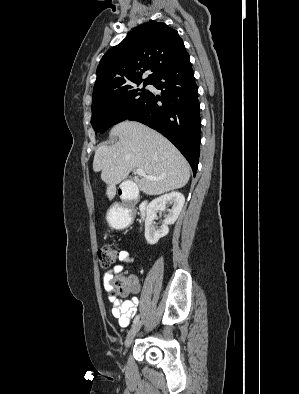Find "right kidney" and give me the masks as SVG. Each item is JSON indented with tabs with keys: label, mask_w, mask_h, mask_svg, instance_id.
Masks as SVG:
<instances>
[{
	"label": "right kidney",
	"mask_w": 299,
	"mask_h": 394,
	"mask_svg": "<svg viewBox=\"0 0 299 394\" xmlns=\"http://www.w3.org/2000/svg\"><path fill=\"white\" fill-rule=\"evenodd\" d=\"M185 197L180 192H171L162 195L152 200L146 209V220H145V239L150 245L156 244L160 238L166 236L169 232L168 225H172L177 220L183 205ZM166 204H170L172 208L169 210V214L164 219V223L159 229H156L153 225L158 211L166 209Z\"/></svg>",
	"instance_id": "1"
}]
</instances>
